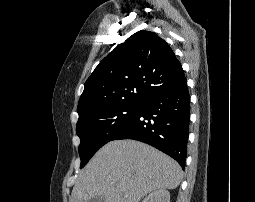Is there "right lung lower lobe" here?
<instances>
[{
  "label": "right lung lower lobe",
  "mask_w": 255,
  "mask_h": 202,
  "mask_svg": "<svg viewBox=\"0 0 255 202\" xmlns=\"http://www.w3.org/2000/svg\"><path fill=\"white\" fill-rule=\"evenodd\" d=\"M190 95L187 82L145 100L112 140L134 139L161 150L185 168Z\"/></svg>",
  "instance_id": "98d812e1"
}]
</instances>
